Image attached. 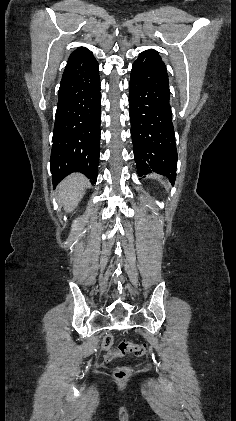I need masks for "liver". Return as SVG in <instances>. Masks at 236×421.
<instances>
[{
    "label": "liver",
    "instance_id": "liver-1",
    "mask_svg": "<svg viewBox=\"0 0 236 421\" xmlns=\"http://www.w3.org/2000/svg\"><path fill=\"white\" fill-rule=\"evenodd\" d=\"M89 184L88 178H86L84 174H81V172L70 174V176H66L64 180L59 182L58 200L62 202L66 213H72V211H74L79 200H81L83 194H85V188H87Z\"/></svg>",
    "mask_w": 236,
    "mask_h": 421
}]
</instances>
